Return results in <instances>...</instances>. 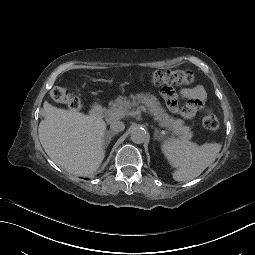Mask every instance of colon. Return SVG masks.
<instances>
[{"label": "colon", "instance_id": "colon-1", "mask_svg": "<svg viewBox=\"0 0 255 255\" xmlns=\"http://www.w3.org/2000/svg\"><path fill=\"white\" fill-rule=\"evenodd\" d=\"M152 82L159 86L171 85H188L195 80L193 73L189 70H158L152 74ZM52 99L59 103L68 106L71 110H78L81 107L80 99L72 94L64 86H55L51 90ZM202 123L205 129L216 131L220 127L218 117L211 111H206L203 116Z\"/></svg>", "mask_w": 255, "mask_h": 255}]
</instances>
